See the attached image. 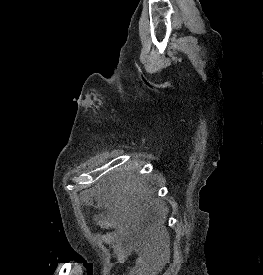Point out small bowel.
Returning <instances> with one entry per match:
<instances>
[{"instance_id": "c3829d8e", "label": "small bowel", "mask_w": 263, "mask_h": 275, "mask_svg": "<svg viewBox=\"0 0 263 275\" xmlns=\"http://www.w3.org/2000/svg\"><path fill=\"white\" fill-rule=\"evenodd\" d=\"M98 226L102 228H113L114 224L111 220H98ZM115 228V227H114ZM105 241L115 242V254L118 262H124L127 256L133 252H138V255L134 261L131 269L123 275H152L150 274L156 267L152 265L145 254L139 249L138 244L134 243L129 237H127L123 231L114 230L102 235Z\"/></svg>"}]
</instances>
